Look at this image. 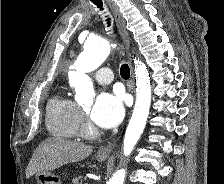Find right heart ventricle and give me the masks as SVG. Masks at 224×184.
<instances>
[{"mask_svg": "<svg viewBox=\"0 0 224 184\" xmlns=\"http://www.w3.org/2000/svg\"><path fill=\"white\" fill-rule=\"evenodd\" d=\"M45 121L53 136L75 138L79 133L81 111L76 102L65 94L58 93L47 103Z\"/></svg>", "mask_w": 224, "mask_h": 184, "instance_id": "e07e8e85", "label": "right heart ventricle"}]
</instances>
